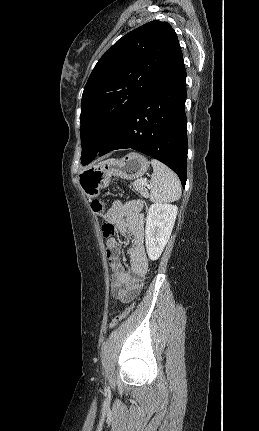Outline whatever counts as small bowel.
Wrapping results in <instances>:
<instances>
[{
  "instance_id": "obj_1",
  "label": "small bowel",
  "mask_w": 259,
  "mask_h": 431,
  "mask_svg": "<svg viewBox=\"0 0 259 431\" xmlns=\"http://www.w3.org/2000/svg\"><path fill=\"white\" fill-rule=\"evenodd\" d=\"M104 219L112 223L120 235L132 240V245L127 249L129 269H126L123 263V244L115 238L106 241L107 258L112 271L111 293L119 302L128 303L139 294L143 278L148 271V259L143 246L145 234L141 203H122L115 200L105 213Z\"/></svg>"
}]
</instances>
